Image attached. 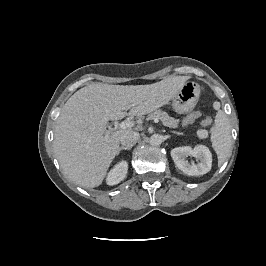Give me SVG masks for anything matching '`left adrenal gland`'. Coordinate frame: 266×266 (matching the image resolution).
I'll return each instance as SVG.
<instances>
[{"instance_id":"1","label":"left adrenal gland","mask_w":266,"mask_h":266,"mask_svg":"<svg viewBox=\"0 0 266 266\" xmlns=\"http://www.w3.org/2000/svg\"><path fill=\"white\" fill-rule=\"evenodd\" d=\"M171 133L177 134V135H182V133L176 132V131H170Z\"/></svg>"}]
</instances>
